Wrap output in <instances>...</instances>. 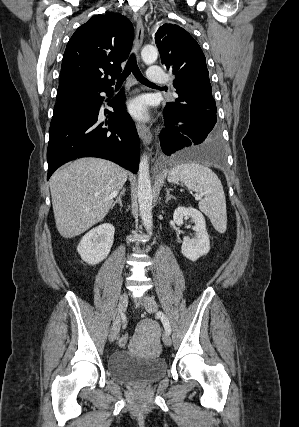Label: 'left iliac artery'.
<instances>
[{"instance_id":"44dca946","label":"left iliac artery","mask_w":299,"mask_h":427,"mask_svg":"<svg viewBox=\"0 0 299 427\" xmlns=\"http://www.w3.org/2000/svg\"><path fill=\"white\" fill-rule=\"evenodd\" d=\"M157 315L161 319V321H162V323L164 325L165 331L168 334H170L171 333V326H170L169 320L166 317V315L164 313L160 312V311L157 313Z\"/></svg>"}]
</instances>
